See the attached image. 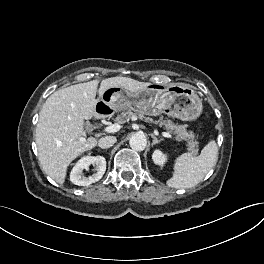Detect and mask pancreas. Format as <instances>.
Returning <instances> with one entry per match:
<instances>
[{"label": "pancreas", "instance_id": "1", "mask_svg": "<svg viewBox=\"0 0 264 264\" xmlns=\"http://www.w3.org/2000/svg\"><path fill=\"white\" fill-rule=\"evenodd\" d=\"M134 117H138L139 119H144L145 122L153 123V124L159 125L160 127H163L168 132L176 135L177 139L187 141V143H188L187 149L191 154L196 155L198 153L199 142L194 140L195 135H194L193 131H187L185 126L174 124L171 120H163L162 117L159 120H153L152 118L145 117L144 115L133 113V112L129 111V112L121 113L120 115H118L115 118V122L124 123V122H127Z\"/></svg>", "mask_w": 264, "mask_h": 264}]
</instances>
